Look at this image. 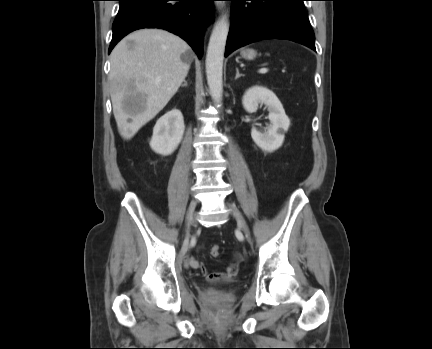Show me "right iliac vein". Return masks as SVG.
I'll return each mask as SVG.
<instances>
[{"label": "right iliac vein", "instance_id": "1", "mask_svg": "<svg viewBox=\"0 0 432 349\" xmlns=\"http://www.w3.org/2000/svg\"><path fill=\"white\" fill-rule=\"evenodd\" d=\"M196 205H197V200H196V199H193V200L190 202V205H189V208H188V212H187V223H186V226H187V232H188L189 227H190V225H191V222H192V220H193V215H194V211H195Z\"/></svg>", "mask_w": 432, "mask_h": 349}]
</instances>
